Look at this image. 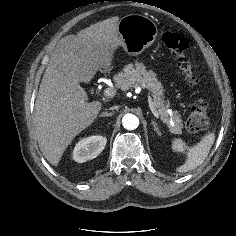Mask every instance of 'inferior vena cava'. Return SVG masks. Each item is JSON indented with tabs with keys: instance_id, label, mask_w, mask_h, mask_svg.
Returning a JSON list of instances; mask_svg holds the SVG:
<instances>
[{
	"instance_id": "602c4592",
	"label": "inferior vena cava",
	"mask_w": 236,
	"mask_h": 236,
	"mask_svg": "<svg viewBox=\"0 0 236 236\" xmlns=\"http://www.w3.org/2000/svg\"><path fill=\"white\" fill-rule=\"evenodd\" d=\"M119 108V106H112L110 109L111 110H117Z\"/></svg>"
}]
</instances>
